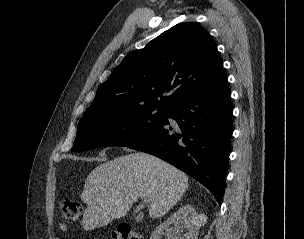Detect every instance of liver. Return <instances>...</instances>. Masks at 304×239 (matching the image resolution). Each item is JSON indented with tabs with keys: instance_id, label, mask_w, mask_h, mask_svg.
I'll return each mask as SVG.
<instances>
[{
	"instance_id": "obj_1",
	"label": "liver",
	"mask_w": 304,
	"mask_h": 239,
	"mask_svg": "<svg viewBox=\"0 0 304 239\" xmlns=\"http://www.w3.org/2000/svg\"><path fill=\"white\" fill-rule=\"evenodd\" d=\"M188 186L184 172L152 155L135 152L117 157L96 167L85 181L83 228L93 230L124 217L139 198L149 200L151 217H161Z\"/></svg>"
}]
</instances>
